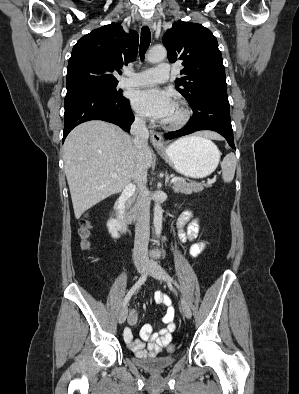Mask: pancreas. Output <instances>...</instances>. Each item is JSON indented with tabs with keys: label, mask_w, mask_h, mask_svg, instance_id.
Segmentation results:
<instances>
[{
	"label": "pancreas",
	"mask_w": 299,
	"mask_h": 394,
	"mask_svg": "<svg viewBox=\"0 0 299 394\" xmlns=\"http://www.w3.org/2000/svg\"><path fill=\"white\" fill-rule=\"evenodd\" d=\"M211 184H202V183H187L184 180L181 181H177L175 183H173V189L175 192H180V193H184V194H192L194 193H198L201 192L204 187H210ZM137 211V206L134 205L131 207L130 209V213H136Z\"/></svg>",
	"instance_id": "pancreas-1"
}]
</instances>
